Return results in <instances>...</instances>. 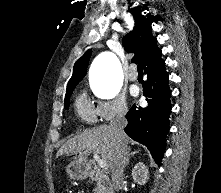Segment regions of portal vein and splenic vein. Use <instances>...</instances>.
I'll list each match as a JSON object with an SVG mask.
<instances>
[{
  "instance_id": "obj_1",
  "label": "portal vein and splenic vein",
  "mask_w": 221,
  "mask_h": 193,
  "mask_svg": "<svg viewBox=\"0 0 221 193\" xmlns=\"http://www.w3.org/2000/svg\"><path fill=\"white\" fill-rule=\"evenodd\" d=\"M94 158L98 162L100 168H105L107 166L106 161L101 159L96 152H94Z\"/></svg>"
}]
</instances>
